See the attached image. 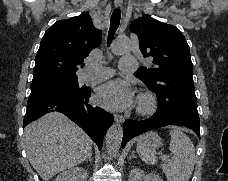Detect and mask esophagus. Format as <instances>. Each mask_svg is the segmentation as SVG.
<instances>
[{"label": "esophagus", "mask_w": 228, "mask_h": 181, "mask_svg": "<svg viewBox=\"0 0 228 181\" xmlns=\"http://www.w3.org/2000/svg\"><path fill=\"white\" fill-rule=\"evenodd\" d=\"M122 2L123 0H115V6H121ZM114 120L118 123H123L125 119L124 116L115 114Z\"/></svg>", "instance_id": "obj_1"}]
</instances>
